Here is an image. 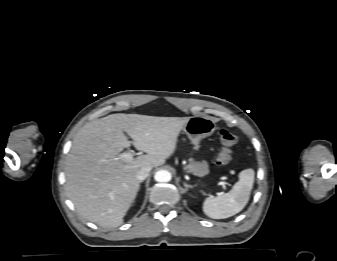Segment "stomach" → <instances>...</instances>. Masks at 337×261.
Returning a JSON list of instances; mask_svg holds the SVG:
<instances>
[{"label":"stomach","mask_w":337,"mask_h":261,"mask_svg":"<svg viewBox=\"0 0 337 261\" xmlns=\"http://www.w3.org/2000/svg\"><path fill=\"white\" fill-rule=\"evenodd\" d=\"M215 128V122L210 117L193 116L190 117V120L183 130L194 147L198 149L200 147L201 140L212 135ZM201 186L205 187V182H201Z\"/></svg>","instance_id":"obj_1"}]
</instances>
